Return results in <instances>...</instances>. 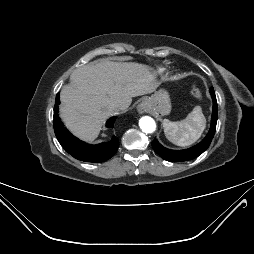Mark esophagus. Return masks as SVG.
<instances>
[{
  "instance_id": "1",
  "label": "esophagus",
  "mask_w": 254,
  "mask_h": 254,
  "mask_svg": "<svg viewBox=\"0 0 254 254\" xmlns=\"http://www.w3.org/2000/svg\"><path fill=\"white\" fill-rule=\"evenodd\" d=\"M137 110L139 113L143 114V113H147L149 110V104L146 101H142L139 103V105L137 106Z\"/></svg>"
}]
</instances>
